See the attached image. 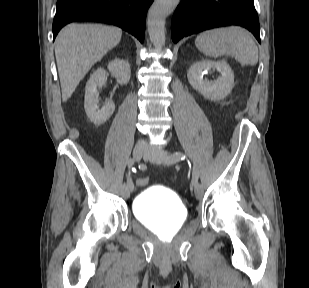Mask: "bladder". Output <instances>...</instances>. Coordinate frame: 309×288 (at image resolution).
<instances>
[{
	"instance_id": "1",
	"label": "bladder",
	"mask_w": 309,
	"mask_h": 288,
	"mask_svg": "<svg viewBox=\"0 0 309 288\" xmlns=\"http://www.w3.org/2000/svg\"><path fill=\"white\" fill-rule=\"evenodd\" d=\"M133 212L143 226L160 234L178 232L187 220V210L179 197L155 186L142 190L135 197Z\"/></svg>"
}]
</instances>
